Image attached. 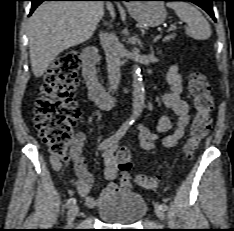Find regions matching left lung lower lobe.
Instances as JSON below:
<instances>
[{
  "label": "left lung lower lobe",
  "mask_w": 234,
  "mask_h": 231,
  "mask_svg": "<svg viewBox=\"0 0 234 231\" xmlns=\"http://www.w3.org/2000/svg\"><path fill=\"white\" fill-rule=\"evenodd\" d=\"M161 1H190L200 6L202 9H204L213 18V20L216 21L212 8V1L216 0H161Z\"/></svg>",
  "instance_id": "0a47b994"
}]
</instances>
